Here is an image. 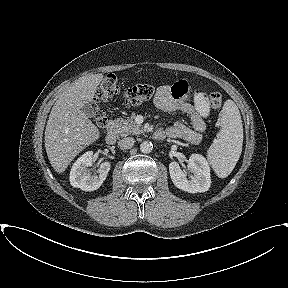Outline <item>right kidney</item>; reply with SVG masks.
Listing matches in <instances>:
<instances>
[{
    "mask_svg": "<svg viewBox=\"0 0 288 288\" xmlns=\"http://www.w3.org/2000/svg\"><path fill=\"white\" fill-rule=\"evenodd\" d=\"M93 152L88 151L79 157L70 171V184L83 191L97 190L105 181L111 164L103 162L98 169V175H91L88 167L93 164Z\"/></svg>",
    "mask_w": 288,
    "mask_h": 288,
    "instance_id": "ca27d5eb",
    "label": "right kidney"
}]
</instances>
